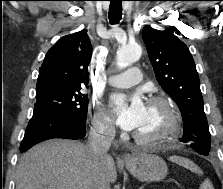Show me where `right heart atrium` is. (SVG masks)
<instances>
[{
	"instance_id": "obj_1",
	"label": "right heart atrium",
	"mask_w": 223,
	"mask_h": 189,
	"mask_svg": "<svg viewBox=\"0 0 223 189\" xmlns=\"http://www.w3.org/2000/svg\"><path fill=\"white\" fill-rule=\"evenodd\" d=\"M92 127L96 133L105 137H110L114 133V124L112 120L99 107L93 109Z\"/></svg>"
}]
</instances>
